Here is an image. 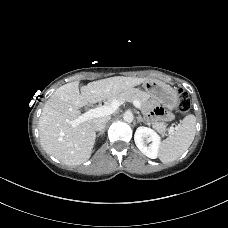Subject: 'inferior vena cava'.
I'll list each match as a JSON object with an SVG mask.
<instances>
[{"mask_svg": "<svg viewBox=\"0 0 228 228\" xmlns=\"http://www.w3.org/2000/svg\"><path fill=\"white\" fill-rule=\"evenodd\" d=\"M110 120V117H105V118H98L95 119L93 122V127L95 131H102L104 130L106 123Z\"/></svg>", "mask_w": 228, "mask_h": 228, "instance_id": "inferior-vena-cava-1", "label": "inferior vena cava"}]
</instances>
